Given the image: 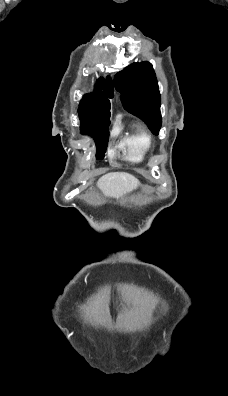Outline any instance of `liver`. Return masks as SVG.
<instances>
[{"label":"liver","instance_id":"liver-1","mask_svg":"<svg viewBox=\"0 0 228 396\" xmlns=\"http://www.w3.org/2000/svg\"><path fill=\"white\" fill-rule=\"evenodd\" d=\"M139 181L133 175L123 172L105 174L98 180V187L107 197L119 198L139 186Z\"/></svg>","mask_w":228,"mask_h":396}]
</instances>
